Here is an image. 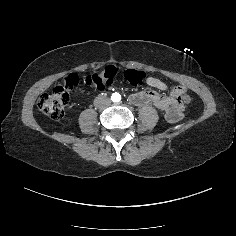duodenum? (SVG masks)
<instances>
[{
  "label": "duodenum",
  "mask_w": 236,
  "mask_h": 236,
  "mask_svg": "<svg viewBox=\"0 0 236 236\" xmlns=\"http://www.w3.org/2000/svg\"><path fill=\"white\" fill-rule=\"evenodd\" d=\"M131 101L140 106L156 105L166 113L167 118L172 122L178 121L182 116V106L175 95L165 98L156 93L142 92L132 95Z\"/></svg>",
  "instance_id": "410a0bca"
}]
</instances>
